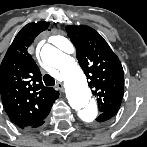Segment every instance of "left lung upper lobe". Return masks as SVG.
I'll use <instances>...</instances> for the list:
<instances>
[{
  "label": "left lung upper lobe",
  "instance_id": "1",
  "mask_svg": "<svg viewBox=\"0 0 147 147\" xmlns=\"http://www.w3.org/2000/svg\"><path fill=\"white\" fill-rule=\"evenodd\" d=\"M66 31L83 69L100 113L117 112L123 98L124 73L120 60L103 37L93 28L67 26Z\"/></svg>",
  "mask_w": 147,
  "mask_h": 147
}]
</instances>
